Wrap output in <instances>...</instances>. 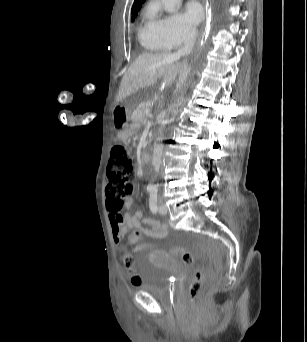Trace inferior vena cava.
<instances>
[{
  "label": "inferior vena cava",
  "instance_id": "1",
  "mask_svg": "<svg viewBox=\"0 0 307 342\" xmlns=\"http://www.w3.org/2000/svg\"><path fill=\"white\" fill-rule=\"evenodd\" d=\"M196 36H197V30H189L185 40H184V46L183 48H180L178 52H176L177 56H188V54H191L195 42H196ZM190 66L187 64V60L184 62V66L182 70L179 72V80L177 82V90L175 92H178L179 88L183 86L186 82V78H188L190 74ZM161 156H162V148H154L153 152V158H152V164L154 166L155 172H159L160 170V164H161Z\"/></svg>",
  "mask_w": 307,
  "mask_h": 342
}]
</instances>
